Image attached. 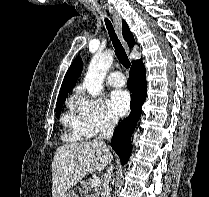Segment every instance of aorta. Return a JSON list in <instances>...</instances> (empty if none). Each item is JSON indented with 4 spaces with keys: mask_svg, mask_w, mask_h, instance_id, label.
Returning <instances> with one entry per match:
<instances>
[{
    "mask_svg": "<svg viewBox=\"0 0 209 197\" xmlns=\"http://www.w3.org/2000/svg\"><path fill=\"white\" fill-rule=\"evenodd\" d=\"M113 63V52L97 53L91 59L88 71L83 81L87 92L96 97L102 92V83L108 69Z\"/></svg>",
    "mask_w": 209,
    "mask_h": 197,
    "instance_id": "762f6f07",
    "label": "aorta"
}]
</instances>
